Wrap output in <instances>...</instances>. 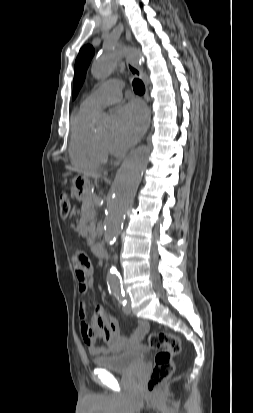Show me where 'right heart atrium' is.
I'll list each match as a JSON object with an SVG mask.
<instances>
[{
	"label": "right heart atrium",
	"instance_id": "obj_1",
	"mask_svg": "<svg viewBox=\"0 0 253 413\" xmlns=\"http://www.w3.org/2000/svg\"><path fill=\"white\" fill-rule=\"evenodd\" d=\"M105 147H106V150H107L108 152H111V151L113 150L112 146L109 145V144H105Z\"/></svg>",
	"mask_w": 253,
	"mask_h": 413
}]
</instances>
